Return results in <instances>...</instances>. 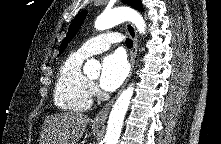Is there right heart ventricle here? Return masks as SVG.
Segmentation results:
<instances>
[{
  "instance_id": "e07e8e85",
  "label": "right heart ventricle",
  "mask_w": 221,
  "mask_h": 144,
  "mask_svg": "<svg viewBox=\"0 0 221 144\" xmlns=\"http://www.w3.org/2000/svg\"><path fill=\"white\" fill-rule=\"evenodd\" d=\"M84 59L78 53H73L60 66L54 88V102L64 111H85L91 105L90 82L81 68Z\"/></svg>"
}]
</instances>
